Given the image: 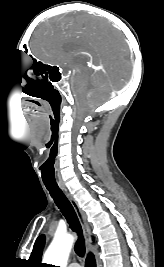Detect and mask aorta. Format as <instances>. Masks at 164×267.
Returning a JSON list of instances; mask_svg holds the SVG:
<instances>
[{"label": "aorta", "instance_id": "aorta-1", "mask_svg": "<svg viewBox=\"0 0 164 267\" xmlns=\"http://www.w3.org/2000/svg\"><path fill=\"white\" fill-rule=\"evenodd\" d=\"M74 244V236L66 234L56 235L44 254L43 261L46 264L66 267L69 254Z\"/></svg>", "mask_w": 164, "mask_h": 267}]
</instances>
